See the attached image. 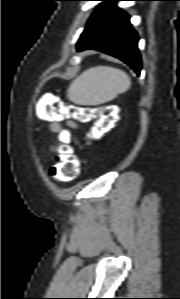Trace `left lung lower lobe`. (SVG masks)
Wrapping results in <instances>:
<instances>
[{"instance_id":"left-lung-lower-lobe-1","label":"left lung lower lobe","mask_w":180,"mask_h":299,"mask_svg":"<svg viewBox=\"0 0 180 299\" xmlns=\"http://www.w3.org/2000/svg\"><path fill=\"white\" fill-rule=\"evenodd\" d=\"M137 43L138 35L130 24L129 16L114 3H105L90 17L77 43V51L94 49L112 55L139 75L142 65Z\"/></svg>"}]
</instances>
